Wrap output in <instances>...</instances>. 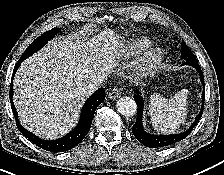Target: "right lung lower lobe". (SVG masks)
Instances as JSON below:
<instances>
[{
    "label": "right lung lower lobe",
    "mask_w": 224,
    "mask_h": 175,
    "mask_svg": "<svg viewBox=\"0 0 224 175\" xmlns=\"http://www.w3.org/2000/svg\"><path fill=\"white\" fill-rule=\"evenodd\" d=\"M25 59H26L25 57L20 58L16 67L14 68L9 93L11 107L14 113V117L16 119L17 128L26 138H28L30 141H32L34 144H36L38 147L44 150L53 152H63L74 148L79 143H81V141L88 134L92 124L95 110L105 99V90L103 88H100L93 95H91L90 98L87 99L81 111L80 121L78 125L70 133L57 140H43L22 127V125L18 120L17 111L14 107L12 100L13 78L15 76L17 69Z\"/></svg>",
    "instance_id": "obj_1"
}]
</instances>
